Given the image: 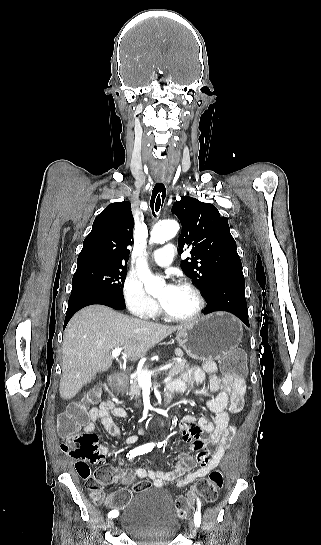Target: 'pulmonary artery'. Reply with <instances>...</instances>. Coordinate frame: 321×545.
I'll return each mask as SVG.
<instances>
[{"label":"pulmonary artery","mask_w":321,"mask_h":545,"mask_svg":"<svg viewBox=\"0 0 321 545\" xmlns=\"http://www.w3.org/2000/svg\"><path fill=\"white\" fill-rule=\"evenodd\" d=\"M169 250H164V248H158L153 251L151 255V259L160 266H167L170 265L175 257V254L173 250L175 249L174 243L168 244Z\"/></svg>","instance_id":"1"}]
</instances>
